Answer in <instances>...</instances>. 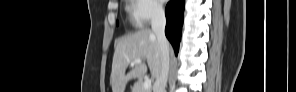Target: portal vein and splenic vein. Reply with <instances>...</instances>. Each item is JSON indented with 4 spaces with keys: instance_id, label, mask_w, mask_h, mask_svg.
Instances as JSON below:
<instances>
[{
    "instance_id": "obj_1",
    "label": "portal vein and splenic vein",
    "mask_w": 296,
    "mask_h": 92,
    "mask_svg": "<svg viewBox=\"0 0 296 92\" xmlns=\"http://www.w3.org/2000/svg\"><path fill=\"white\" fill-rule=\"evenodd\" d=\"M142 62L141 59H135L133 60L130 65L134 66L135 64H140ZM143 88L144 89H149L151 88V80L150 79H145L144 83H143Z\"/></svg>"
}]
</instances>
